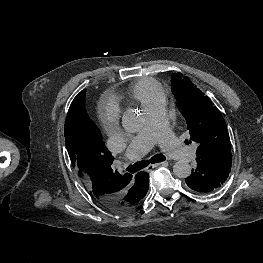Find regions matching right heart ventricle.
I'll return each instance as SVG.
<instances>
[{"instance_id":"1","label":"right heart ventricle","mask_w":263,"mask_h":263,"mask_svg":"<svg viewBox=\"0 0 263 263\" xmlns=\"http://www.w3.org/2000/svg\"><path fill=\"white\" fill-rule=\"evenodd\" d=\"M131 100L139 103L144 109L164 98V90L154 79H140L128 89Z\"/></svg>"}]
</instances>
